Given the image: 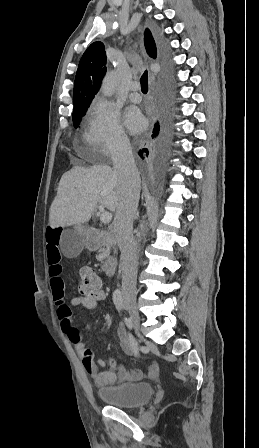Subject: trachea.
<instances>
[{"mask_svg":"<svg viewBox=\"0 0 259 448\" xmlns=\"http://www.w3.org/2000/svg\"><path fill=\"white\" fill-rule=\"evenodd\" d=\"M140 84H141V91L143 93H148V72L145 70L143 75L140 78Z\"/></svg>","mask_w":259,"mask_h":448,"instance_id":"trachea-1","label":"trachea"}]
</instances>
